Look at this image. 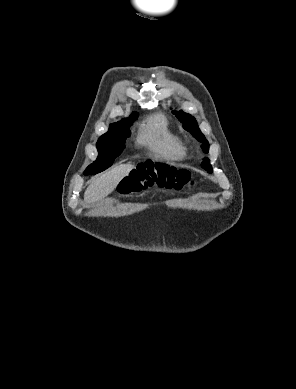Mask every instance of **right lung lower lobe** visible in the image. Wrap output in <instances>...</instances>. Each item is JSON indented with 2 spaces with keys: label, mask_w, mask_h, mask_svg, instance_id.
I'll return each instance as SVG.
<instances>
[{
  "label": "right lung lower lobe",
  "mask_w": 296,
  "mask_h": 389,
  "mask_svg": "<svg viewBox=\"0 0 296 389\" xmlns=\"http://www.w3.org/2000/svg\"><path fill=\"white\" fill-rule=\"evenodd\" d=\"M84 174L85 175H88V174H96L95 172H93V171H90V170H88V169H86V171L84 172Z\"/></svg>",
  "instance_id": "obj_1"
}]
</instances>
